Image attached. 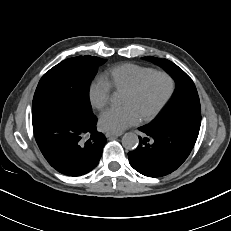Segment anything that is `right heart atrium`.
<instances>
[{"instance_id":"right-heart-atrium-1","label":"right heart atrium","mask_w":231,"mask_h":231,"mask_svg":"<svg viewBox=\"0 0 231 231\" xmlns=\"http://www.w3.org/2000/svg\"><path fill=\"white\" fill-rule=\"evenodd\" d=\"M111 87L104 78H96L89 86V100L97 110H103L110 101Z\"/></svg>"}]
</instances>
